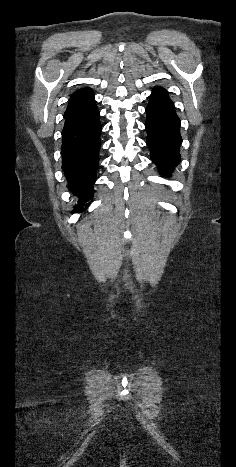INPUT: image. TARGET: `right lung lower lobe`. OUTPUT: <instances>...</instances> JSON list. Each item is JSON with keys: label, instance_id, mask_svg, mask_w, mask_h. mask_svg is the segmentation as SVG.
<instances>
[{"label": "right lung lower lobe", "instance_id": "obj_1", "mask_svg": "<svg viewBox=\"0 0 236 467\" xmlns=\"http://www.w3.org/2000/svg\"><path fill=\"white\" fill-rule=\"evenodd\" d=\"M62 131V169L69 190L79 197L73 212H82L93 197L101 147L99 111L94 98L85 105L64 114ZM86 203V204H85Z\"/></svg>", "mask_w": 236, "mask_h": 467}]
</instances>
